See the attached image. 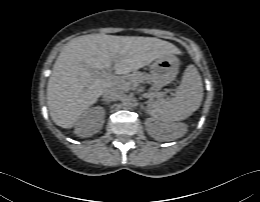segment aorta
<instances>
[{"label": "aorta", "mask_w": 260, "mask_h": 202, "mask_svg": "<svg viewBox=\"0 0 260 202\" xmlns=\"http://www.w3.org/2000/svg\"><path fill=\"white\" fill-rule=\"evenodd\" d=\"M122 106L125 108V109H130L132 106H133V102L130 98H125L123 101H122Z\"/></svg>", "instance_id": "aorta-1"}]
</instances>
